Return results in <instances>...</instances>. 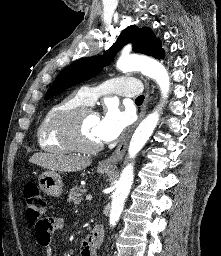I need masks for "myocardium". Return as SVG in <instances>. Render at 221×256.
<instances>
[{
  "instance_id": "f54148a6",
  "label": "myocardium",
  "mask_w": 221,
  "mask_h": 256,
  "mask_svg": "<svg viewBox=\"0 0 221 256\" xmlns=\"http://www.w3.org/2000/svg\"><path fill=\"white\" fill-rule=\"evenodd\" d=\"M92 109L88 106H81L72 110L64 117L60 125V135L73 151L80 153H96L102 148V144L88 145L82 141L81 126L83 118L91 113Z\"/></svg>"
}]
</instances>
